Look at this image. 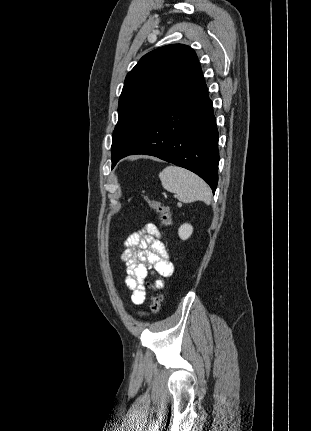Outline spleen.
<instances>
[{
	"mask_svg": "<svg viewBox=\"0 0 311 431\" xmlns=\"http://www.w3.org/2000/svg\"><path fill=\"white\" fill-rule=\"evenodd\" d=\"M159 178L164 190L178 194L180 202L190 204V202H211V190L199 176L192 174L184 168L177 166H167L163 172H160Z\"/></svg>",
	"mask_w": 311,
	"mask_h": 431,
	"instance_id": "1",
	"label": "spleen"
}]
</instances>
